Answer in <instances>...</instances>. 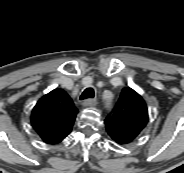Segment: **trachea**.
I'll use <instances>...</instances> for the list:
<instances>
[{"instance_id": "obj_1", "label": "trachea", "mask_w": 184, "mask_h": 173, "mask_svg": "<svg viewBox=\"0 0 184 173\" xmlns=\"http://www.w3.org/2000/svg\"><path fill=\"white\" fill-rule=\"evenodd\" d=\"M94 97V90L92 88H87L83 91V93L80 96V100L93 98Z\"/></svg>"}]
</instances>
